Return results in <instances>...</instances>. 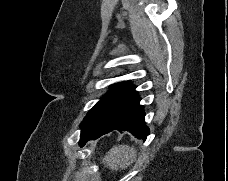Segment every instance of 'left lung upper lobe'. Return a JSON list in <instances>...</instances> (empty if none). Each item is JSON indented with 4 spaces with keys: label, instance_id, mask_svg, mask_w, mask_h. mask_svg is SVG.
<instances>
[{
    "label": "left lung upper lobe",
    "instance_id": "5c2ea615",
    "mask_svg": "<svg viewBox=\"0 0 228 181\" xmlns=\"http://www.w3.org/2000/svg\"><path fill=\"white\" fill-rule=\"evenodd\" d=\"M99 102L87 113L80 124L82 131L111 127L123 118L135 93V86L128 82L114 84Z\"/></svg>",
    "mask_w": 228,
    "mask_h": 181
}]
</instances>
